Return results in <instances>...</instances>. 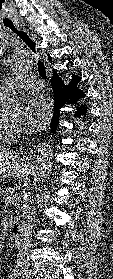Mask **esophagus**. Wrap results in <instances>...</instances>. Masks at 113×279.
Returning a JSON list of instances; mask_svg holds the SVG:
<instances>
[{
	"mask_svg": "<svg viewBox=\"0 0 113 279\" xmlns=\"http://www.w3.org/2000/svg\"><path fill=\"white\" fill-rule=\"evenodd\" d=\"M27 33L30 35V37L33 39V41L35 42L38 50H39V53L42 57V59H45V52L44 50L40 47V40H39V37L32 31H30L29 29H27Z\"/></svg>",
	"mask_w": 113,
	"mask_h": 279,
	"instance_id": "obj_1",
	"label": "esophagus"
}]
</instances>
